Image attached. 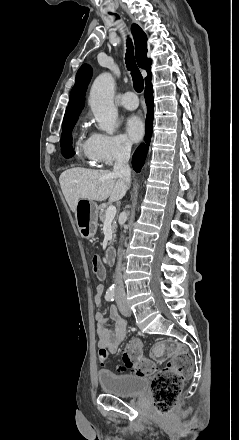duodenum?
I'll return each mask as SVG.
<instances>
[{
  "label": "duodenum",
  "instance_id": "1",
  "mask_svg": "<svg viewBox=\"0 0 239 440\" xmlns=\"http://www.w3.org/2000/svg\"><path fill=\"white\" fill-rule=\"evenodd\" d=\"M106 260L109 264L114 263V260H115V250L114 249H112V248L107 249Z\"/></svg>",
  "mask_w": 239,
  "mask_h": 440
}]
</instances>
